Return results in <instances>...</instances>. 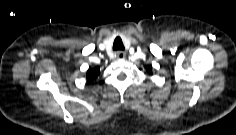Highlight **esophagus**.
Listing matches in <instances>:
<instances>
[{"label": "esophagus", "instance_id": "esophagus-1", "mask_svg": "<svg viewBox=\"0 0 236 135\" xmlns=\"http://www.w3.org/2000/svg\"><path fill=\"white\" fill-rule=\"evenodd\" d=\"M115 57H116L117 59H125L126 54H125V52H123V51H118V52H116Z\"/></svg>", "mask_w": 236, "mask_h": 135}]
</instances>
